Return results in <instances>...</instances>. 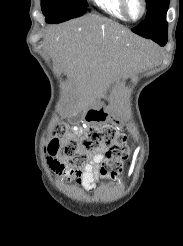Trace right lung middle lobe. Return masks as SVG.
Masks as SVG:
<instances>
[{"instance_id":"obj_1","label":"right lung middle lobe","mask_w":183,"mask_h":246,"mask_svg":"<svg viewBox=\"0 0 183 246\" xmlns=\"http://www.w3.org/2000/svg\"><path fill=\"white\" fill-rule=\"evenodd\" d=\"M86 0H41L42 12L48 23H61L86 13Z\"/></svg>"}]
</instances>
